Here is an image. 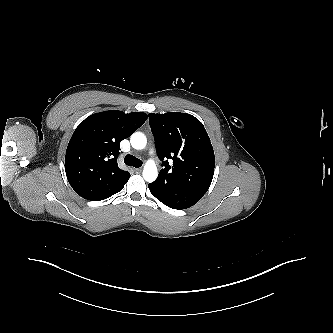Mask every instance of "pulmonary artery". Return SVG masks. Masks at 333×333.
I'll use <instances>...</instances> for the list:
<instances>
[{
    "instance_id": "pulmonary-artery-1",
    "label": "pulmonary artery",
    "mask_w": 333,
    "mask_h": 333,
    "mask_svg": "<svg viewBox=\"0 0 333 333\" xmlns=\"http://www.w3.org/2000/svg\"><path fill=\"white\" fill-rule=\"evenodd\" d=\"M153 153V150H150V154H152Z\"/></svg>"
}]
</instances>
